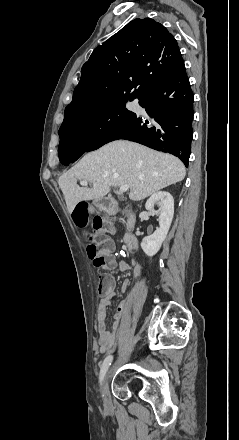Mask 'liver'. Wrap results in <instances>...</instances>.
Wrapping results in <instances>:
<instances>
[{"label":"liver","instance_id":"liver-1","mask_svg":"<svg viewBox=\"0 0 239 440\" xmlns=\"http://www.w3.org/2000/svg\"><path fill=\"white\" fill-rule=\"evenodd\" d=\"M185 174L184 164L175 156L155 152L135 142L117 140L83 156L76 166L60 176L58 184L67 210L72 214L79 202L104 198L112 186L128 184L129 198L137 202L181 182ZM139 176H144L143 180ZM77 180H85L93 186L80 188Z\"/></svg>","mask_w":239,"mask_h":440}]
</instances>
